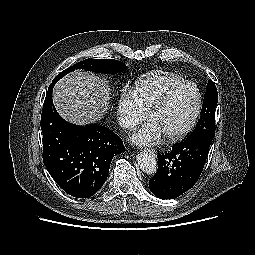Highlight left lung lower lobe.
<instances>
[{
  "label": "left lung lower lobe",
  "mask_w": 255,
  "mask_h": 255,
  "mask_svg": "<svg viewBox=\"0 0 255 255\" xmlns=\"http://www.w3.org/2000/svg\"><path fill=\"white\" fill-rule=\"evenodd\" d=\"M215 130L190 134L171 151L160 154L158 170L149 187L162 199H173L194 186L205 165Z\"/></svg>",
  "instance_id": "0a47b994"
}]
</instances>
